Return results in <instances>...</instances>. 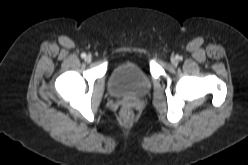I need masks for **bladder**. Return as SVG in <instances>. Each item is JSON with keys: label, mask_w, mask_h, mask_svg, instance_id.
<instances>
[{"label": "bladder", "mask_w": 248, "mask_h": 165, "mask_svg": "<svg viewBox=\"0 0 248 165\" xmlns=\"http://www.w3.org/2000/svg\"><path fill=\"white\" fill-rule=\"evenodd\" d=\"M151 90V81L141 66L126 61L115 65L108 77V91L117 98L139 99Z\"/></svg>", "instance_id": "obj_1"}]
</instances>
